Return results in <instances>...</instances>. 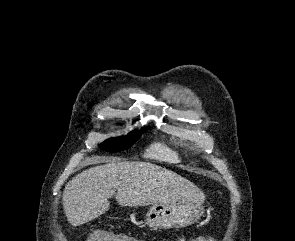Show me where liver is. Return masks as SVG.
<instances>
[{
  "mask_svg": "<svg viewBox=\"0 0 295 241\" xmlns=\"http://www.w3.org/2000/svg\"><path fill=\"white\" fill-rule=\"evenodd\" d=\"M116 193L122 206L202 203L205 195L186 178L147 162L112 160L84 170L63 191L68 222L80 226L108 211Z\"/></svg>",
  "mask_w": 295,
  "mask_h": 241,
  "instance_id": "6515ba94",
  "label": "liver"
}]
</instances>
